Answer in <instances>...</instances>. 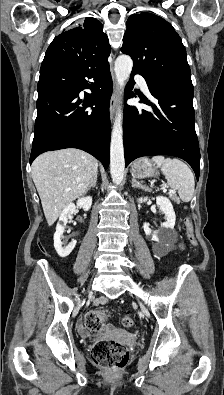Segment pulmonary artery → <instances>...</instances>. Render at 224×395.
Instances as JSON below:
<instances>
[{
    "label": "pulmonary artery",
    "instance_id": "e3ab8cb5",
    "mask_svg": "<svg viewBox=\"0 0 224 395\" xmlns=\"http://www.w3.org/2000/svg\"><path fill=\"white\" fill-rule=\"evenodd\" d=\"M135 80L139 84L140 88L146 95H150L149 88L145 78L141 75H135Z\"/></svg>",
    "mask_w": 224,
    "mask_h": 395
}]
</instances>
